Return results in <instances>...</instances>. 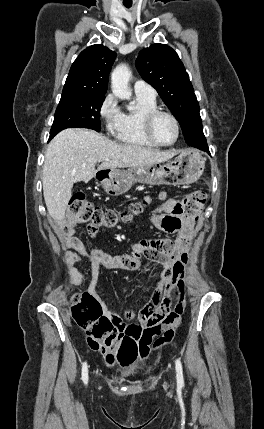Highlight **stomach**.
Wrapping results in <instances>:
<instances>
[{
    "label": "stomach",
    "mask_w": 264,
    "mask_h": 429,
    "mask_svg": "<svg viewBox=\"0 0 264 429\" xmlns=\"http://www.w3.org/2000/svg\"><path fill=\"white\" fill-rule=\"evenodd\" d=\"M205 158L195 149H185L165 164L135 166L128 170L102 169L95 174L105 192L112 196L126 193L135 182L152 185H189L202 175Z\"/></svg>",
    "instance_id": "obj_1"
}]
</instances>
